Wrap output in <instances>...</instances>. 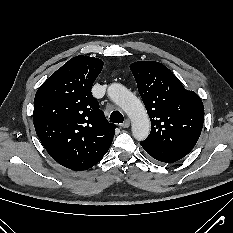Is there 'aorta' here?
<instances>
[{"instance_id": "aorta-1", "label": "aorta", "mask_w": 233, "mask_h": 233, "mask_svg": "<svg viewBox=\"0 0 233 233\" xmlns=\"http://www.w3.org/2000/svg\"><path fill=\"white\" fill-rule=\"evenodd\" d=\"M108 95L131 119L134 138L139 141L146 139L150 133V120L142 102L119 83L108 87Z\"/></svg>"}]
</instances>
